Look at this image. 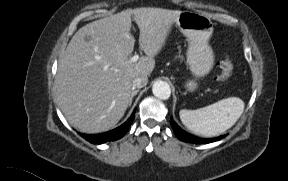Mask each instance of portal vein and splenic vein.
<instances>
[{"label": "portal vein and splenic vein", "mask_w": 288, "mask_h": 181, "mask_svg": "<svg viewBox=\"0 0 288 181\" xmlns=\"http://www.w3.org/2000/svg\"><path fill=\"white\" fill-rule=\"evenodd\" d=\"M138 59H139V55H138V54H135L133 57H131V58L129 59V62H130V63H135V62L138 61Z\"/></svg>", "instance_id": "18ae733b"}]
</instances>
